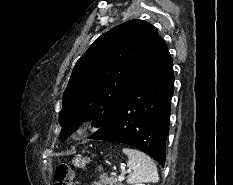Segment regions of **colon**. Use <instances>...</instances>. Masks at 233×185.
I'll return each instance as SVG.
<instances>
[{"instance_id": "1", "label": "colon", "mask_w": 233, "mask_h": 185, "mask_svg": "<svg viewBox=\"0 0 233 185\" xmlns=\"http://www.w3.org/2000/svg\"><path fill=\"white\" fill-rule=\"evenodd\" d=\"M75 172L67 163H61L55 171V185H73Z\"/></svg>"}]
</instances>
